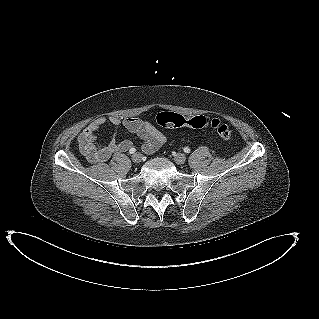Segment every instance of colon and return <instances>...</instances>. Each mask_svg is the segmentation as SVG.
<instances>
[{"instance_id": "colon-1", "label": "colon", "mask_w": 319, "mask_h": 319, "mask_svg": "<svg viewBox=\"0 0 319 319\" xmlns=\"http://www.w3.org/2000/svg\"><path fill=\"white\" fill-rule=\"evenodd\" d=\"M156 123L165 128H178L182 126H188L194 129H201L209 127L213 129L222 139L229 140L233 136L231 128L217 118H209L207 116H196L189 119H185L182 115L164 111L160 112L155 117Z\"/></svg>"}]
</instances>
